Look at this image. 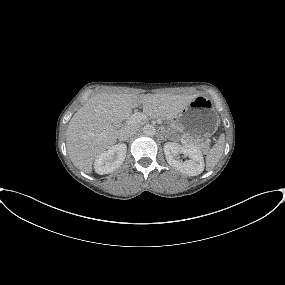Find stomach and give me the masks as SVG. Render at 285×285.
I'll use <instances>...</instances> for the list:
<instances>
[{
	"label": "stomach",
	"mask_w": 285,
	"mask_h": 285,
	"mask_svg": "<svg viewBox=\"0 0 285 285\" xmlns=\"http://www.w3.org/2000/svg\"><path fill=\"white\" fill-rule=\"evenodd\" d=\"M178 129L194 139H206L218 129L220 118L213 102L197 96L176 117Z\"/></svg>",
	"instance_id": "stomach-1"
}]
</instances>
